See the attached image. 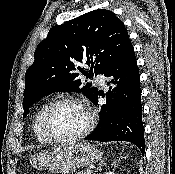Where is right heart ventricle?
I'll return each instance as SVG.
<instances>
[{"mask_svg":"<svg viewBox=\"0 0 175 174\" xmlns=\"http://www.w3.org/2000/svg\"><path fill=\"white\" fill-rule=\"evenodd\" d=\"M49 104H50L49 102H45L38 108L37 112L35 113L33 123H32L33 134H34L36 140L42 144L50 143L52 141L45 134V132L43 130V126H42L43 115H44L47 107L49 106Z\"/></svg>","mask_w":175,"mask_h":174,"instance_id":"obj_1","label":"right heart ventricle"}]
</instances>
